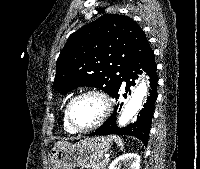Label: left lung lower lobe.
Segmentation results:
<instances>
[{
  "mask_svg": "<svg viewBox=\"0 0 200 169\" xmlns=\"http://www.w3.org/2000/svg\"><path fill=\"white\" fill-rule=\"evenodd\" d=\"M143 69L146 73H148L150 77V95L148 96L147 102L144 104V108L140 111L136 121L134 124H129L127 127L119 128L116 125V115L117 109L121 105L116 106L113 114L104 122L102 126H100L95 132L91 133L92 135H108V134H118V135H130L137 137L141 140L145 145L148 143V136L151 128V119L154 112V104L157 97V85H158V77L156 73V64L154 61V52L150 48L143 56L132 65L128 71L126 72L125 78L123 81L126 82V90L129 91L131 85H135L134 80L138 78V74L142 73ZM121 86V85H120ZM119 88L113 94V97L116 100L119 99Z\"/></svg>",
  "mask_w": 200,
  "mask_h": 169,
  "instance_id": "left-lung-lower-lobe-1",
  "label": "left lung lower lobe"
}]
</instances>
